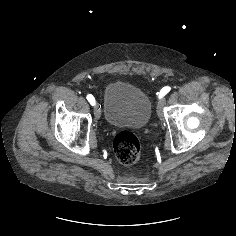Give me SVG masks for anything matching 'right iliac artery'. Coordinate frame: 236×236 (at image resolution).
I'll use <instances>...</instances> for the list:
<instances>
[{"label":"right iliac artery","instance_id":"obj_1","mask_svg":"<svg viewBox=\"0 0 236 236\" xmlns=\"http://www.w3.org/2000/svg\"><path fill=\"white\" fill-rule=\"evenodd\" d=\"M86 98L92 106L95 105V98L93 97V95L88 94Z\"/></svg>","mask_w":236,"mask_h":236}]
</instances>
